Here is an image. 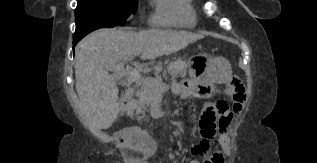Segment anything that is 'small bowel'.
Returning a JSON list of instances; mask_svg holds the SVG:
<instances>
[{"label":"small bowel","mask_w":317,"mask_h":163,"mask_svg":"<svg viewBox=\"0 0 317 163\" xmlns=\"http://www.w3.org/2000/svg\"><path fill=\"white\" fill-rule=\"evenodd\" d=\"M215 86L216 82L214 80L206 81L199 87H195L191 83L175 84L173 86V92L181 99H185L195 91L201 98H210L214 93ZM244 104L245 99L241 100L239 104L234 105V109L232 112L229 111L227 106L226 110L221 115L220 126L218 130L219 145L224 146L229 143V129L233 121L241 115ZM216 133L201 132V138L199 142L192 145V147L190 148V155L192 159L189 163H224L225 158L222 150L219 149L214 151L213 153H210L214 138L216 137ZM121 139L123 141L129 142V140L132 139V134L130 132H127L121 137ZM168 157L172 163H178L174 152L170 151ZM130 162L133 163V161Z\"/></svg>","instance_id":"1"}]
</instances>
